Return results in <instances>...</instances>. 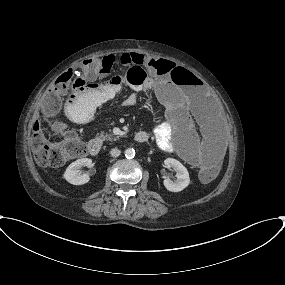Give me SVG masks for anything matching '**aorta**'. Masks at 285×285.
<instances>
[{
	"label": "aorta",
	"instance_id": "obj_1",
	"mask_svg": "<svg viewBox=\"0 0 285 285\" xmlns=\"http://www.w3.org/2000/svg\"><path fill=\"white\" fill-rule=\"evenodd\" d=\"M135 156V150L133 148H127L125 150V157L128 159H132Z\"/></svg>",
	"mask_w": 285,
	"mask_h": 285
}]
</instances>
